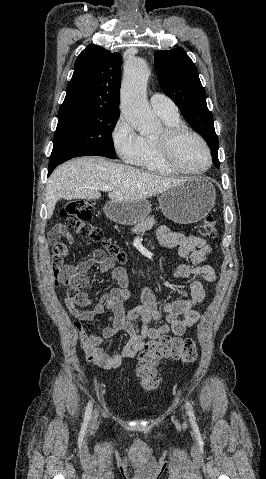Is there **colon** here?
Instances as JSON below:
<instances>
[{
    "instance_id": "colon-1",
    "label": "colon",
    "mask_w": 266,
    "mask_h": 479,
    "mask_svg": "<svg viewBox=\"0 0 266 479\" xmlns=\"http://www.w3.org/2000/svg\"><path fill=\"white\" fill-rule=\"evenodd\" d=\"M94 201L91 199H78L68 202L61 210L63 222L57 224L50 233L49 239L54 242L53 255L66 257L68 249L66 245L59 242V237L68 230L89 238L94 242H101L109 257L124 262L126 254L121 248L106 238L100 228L90 223ZM200 233L208 238L217 236L216 221L209 216L203 219ZM174 358L184 364L192 363L197 358V347L195 342L189 338H178L165 336L153 340L145 345V349L139 354L136 375L141 388L146 392H153L159 386V379L156 373V366L162 358Z\"/></svg>"
}]
</instances>
